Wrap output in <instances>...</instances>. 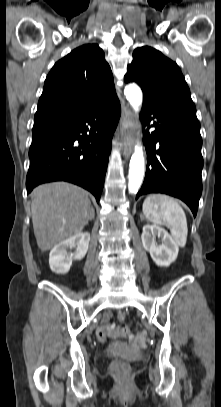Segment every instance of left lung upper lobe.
<instances>
[{
    "label": "left lung upper lobe",
    "instance_id": "left-lung-upper-lobe-1",
    "mask_svg": "<svg viewBox=\"0 0 221 407\" xmlns=\"http://www.w3.org/2000/svg\"><path fill=\"white\" fill-rule=\"evenodd\" d=\"M124 79L141 86L143 105L194 104L178 65L152 47H139L133 52Z\"/></svg>",
    "mask_w": 221,
    "mask_h": 407
}]
</instances>
